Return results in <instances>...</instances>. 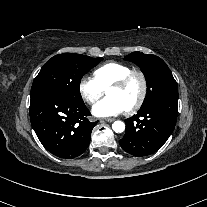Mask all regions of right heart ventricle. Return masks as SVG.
I'll use <instances>...</instances> for the list:
<instances>
[{
  "instance_id": "1",
  "label": "right heart ventricle",
  "mask_w": 207,
  "mask_h": 207,
  "mask_svg": "<svg viewBox=\"0 0 207 207\" xmlns=\"http://www.w3.org/2000/svg\"><path fill=\"white\" fill-rule=\"evenodd\" d=\"M132 71L131 67L120 62H108L93 72L94 79L103 88L107 89L112 83L121 79Z\"/></svg>"
}]
</instances>
